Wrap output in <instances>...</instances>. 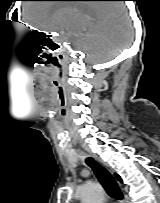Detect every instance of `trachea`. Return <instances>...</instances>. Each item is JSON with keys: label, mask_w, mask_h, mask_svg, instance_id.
Instances as JSON below:
<instances>
[{"label": "trachea", "mask_w": 160, "mask_h": 203, "mask_svg": "<svg viewBox=\"0 0 160 203\" xmlns=\"http://www.w3.org/2000/svg\"><path fill=\"white\" fill-rule=\"evenodd\" d=\"M85 162L93 170L107 194L114 199L122 200L123 194L110 172L97 163L93 158L88 157Z\"/></svg>", "instance_id": "3493384b"}]
</instances>
